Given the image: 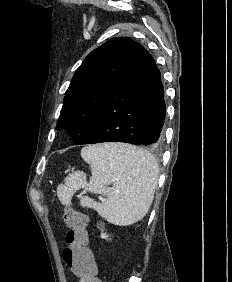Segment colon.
I'll return each instance as SVG.
<instances>
[{
    "label": "colon",
    "instance_id": "5ec220e1",
    "mask_svg": "<svg viewBox=\"0 0 232 282\" xmlns=\"http://www.w3.org/2000/svg\"><path fill=\"white\" fill-rule=\"evenodd\" d=\"M63 218L68 228L65 235L67 246L63 251L64 262L80 278V282H102L97 277L96 263L88 247L86 215L75 209L65 208Z\"/></svg>",
    "mask_w": 232,
    "mask_h": 282
}]
</instances>
